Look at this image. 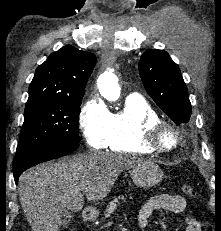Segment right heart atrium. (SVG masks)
I'll use <instances>...</instances> for the list:
<instances>
[{"instance_id": "obj_1", "label": "right heart atrium", "mask_w": 221, "mask_h": 231, "mask_svg": "<svg viewBox=\"0 0 221 231\" xmlns=\"http://www.w3.org/2000/svg\"><path fill=\"white\" fill-rule=\"evenodd\" d=\"M111 112L107 106L96 96L89 98L81 108L79 123L83 137L93 149L105 147L109 128Z\"/></svg>"}]
</instances>
